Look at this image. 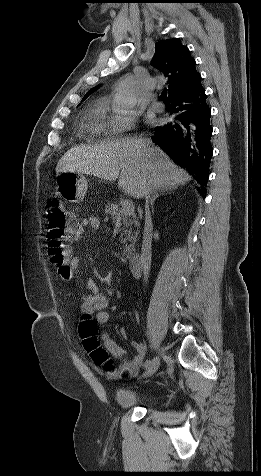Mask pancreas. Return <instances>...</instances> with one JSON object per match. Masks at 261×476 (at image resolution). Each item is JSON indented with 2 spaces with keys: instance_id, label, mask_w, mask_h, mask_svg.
Masks as SVG:
<instances>
[{
  "instance_id": "1",
  "label": "pancreas",
  "mask_w": 261,
  "mask_h": 476,
  "mask_svg": "<svg viewBox=\"0 0 261 476\" xmlns=\"http://www.w3.org/2000/svg\"><path fill=\"white\" fill-rule=\"evenodd\" d=\"M105 213L113 220V223L118 224L120 227L122 226L120 228V243L125 244V246H123L122 255L128 258L134 251V243L139 233L138 228L140 223L136 215L134 213L131 215H123L122 209L118 204L109 202L105 206ZM132 225H134L137 230L133 231ZM127 241H129L130 244H127Z\"/></svg>"
}]
</instances>
